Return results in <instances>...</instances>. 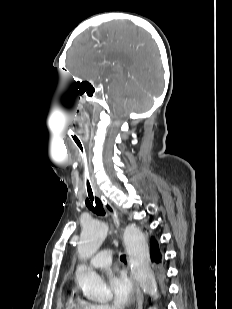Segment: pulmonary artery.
Returning a JSON list of instances; mask_svg holds the SVG:
<instances>
[{
  "mask_svg": "<svg viewBox=\"0 0 232 309\" xmlns=\"http://www.w3.org/2000/svg\"><path fill=\"white\" fill-rule=\"evenodd\" d=\"M112 250H105L91 260V265L94 268L102 269L111 264Z\"/></svg>",
  "mask_w": 232,
  "mask_h": 309,
  "instance_id": "obj_1",
  "label": "pulmonary artery"
}]
</instances>
